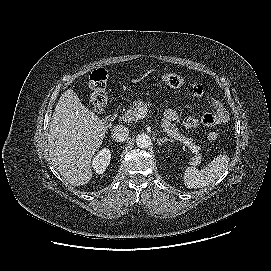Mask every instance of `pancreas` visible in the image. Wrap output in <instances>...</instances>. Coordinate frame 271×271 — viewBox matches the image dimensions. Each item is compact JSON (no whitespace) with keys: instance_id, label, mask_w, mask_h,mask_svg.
I'll use <instances>...</instances> for the list:
<instances>
[{"instance_id":"obj_1","label":"pancreas","mask_w":271,"mask_h":271,"mask_svg":"<svg viewBox=\"0 0 271 271\" xmlns=\"http://www.w3.org/2000/svg\"><path fill=\"white\" fill-rule=\"evenodd\" d=\"M143 107H147L146 103L143 100L138 99L134 101L130 109L123 114L121 120H123L126 123L137 121L138 120L137 113L139 109ZM161 127L163 128V131L170 137L171 141L174 140L180 141L183 144V146L188 147L189 150L195 154V157L193 158L192 161L196 166L201 163L202 155L199 153L200 147L194 144L192 138L184 136L181 132L178 131L176 125L174 123H171L165 117L162 118Z\"/></svg>"}]
</instances>
